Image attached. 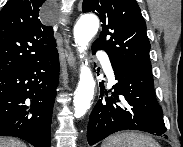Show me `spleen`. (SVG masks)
I'll return each mask as SVG.
<instances>
[{"label": "spleen", "mask_w": 183, "mask_h": 147, "mask_svg": "<svg viewBox=\"0 0 183 147\" xmlns=\"http://www.w3.org/2000/svg\"><path fill=\"white\" fill-rule=\"evenodd\" d=\"M101 147H160V145L145 134L122 132L108 137Z\"/></svg>", "instance_id": "1"}]
</instances>
